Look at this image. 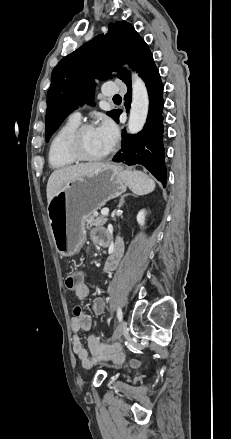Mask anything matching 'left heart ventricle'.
<instances>
[{
	"mask_svg": "<svg viewBox=\"0 0 231 439\" xmlns=\"http://www.w3.org/2000/svg\"><path fill=\"white\" fill-rule=\"evenodd\" d=\"M81 147L84 153L98 156L108 150L107 145L98 134L96 128L85 131L81 137Z\"/></svg>",
	"mask_w": 231,
	"mask_h": 439,
	"instance_id": "obj_1",
	"label": "left heart ventricle"
}]
</instances>
